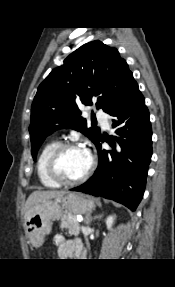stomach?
I'll list each match as a JSON object with an SVG mask.
<instances>
[{
	"instance_id": "obj_1",
	"label": "stomach",
	"mask_w": 175,
	"mask_h": 287,
	"mask_svg": "<svg viewBox=\"0 0 175 287\" xmlns=\"http://www.w3.org/2000/svg\"><path fill=\"white\" fill-rule=\"evenodd\" d=\"M94 208L91 199L83 194L68 192L64 196L49 199L33 207L25 216V230L28 242L40 247L51 232L52 222L59 219L64 211L73 215L85 214Z\"/></svg>"
}]
</instances>
